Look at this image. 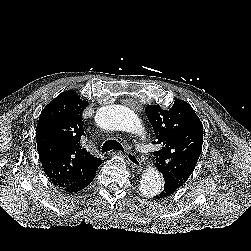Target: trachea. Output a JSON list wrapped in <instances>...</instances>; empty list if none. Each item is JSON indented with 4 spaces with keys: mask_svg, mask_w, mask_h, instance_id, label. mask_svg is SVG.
<instances>
[{
    "mask_svg": "<svg viewBox=\"0 0 251 251\" xmlns=\"http://www.w3.org/2000/svg\"><path fill=\"white\" fill-rule=\"evenodd\" d=\"M110 150H120V151H124L122 145L114 140V139H111V140H108L106 141L103 146H102V149L101 151L104 153V152H107V151H110Z\"/></svg>",
    "mask_w": 251,
    "mask_h": 251,
    "instance_id": "1",
    "label": "trachea"
}]
</instances>
